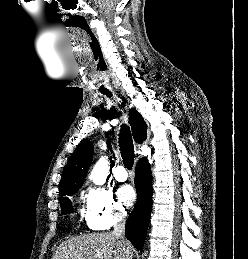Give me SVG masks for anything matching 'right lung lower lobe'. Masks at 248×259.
<instances>
[{
  "label": "right lung lower lobe",
  "instance_id": "right-lung-lower-lobe-1",
  "mask_svg": "<svg viewBox=\"0 0 248 259\" xmlns=\"http://www.w3.org/2000/svg\"><path fill=\"white\" fill-rule=\"evenodd\" d=\"M135 187L137 202L126 222V238L142 251L152 209V180L146 159L137 163Z\"/></svg>",
  "mask_w": 248,
  "mask_h": 259
}]
</instances>
